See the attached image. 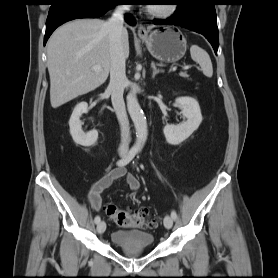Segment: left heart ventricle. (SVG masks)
I'll return each instance as SVG.
<instances>
[{
  "instance_id": "1",
  "label": "left heart ventricle",
  "mask_w": 278,
  "mask_h": 278,
  "mask_svg": "<svg viewBox=\"0 0 278 278\" xmlns=\"http://www.w3.org/2000/svg\"><path fill=\"white\" fill-rule=\"evenodd\" d=\"M165 5H155V6H151V7H153V8H162V7H164Z\"/></svg>"
}]
</instances>
